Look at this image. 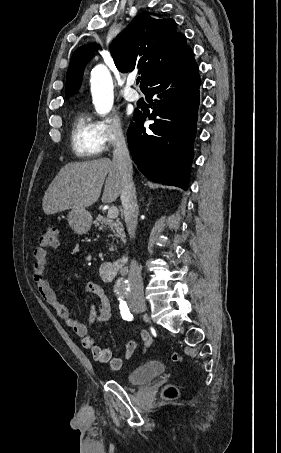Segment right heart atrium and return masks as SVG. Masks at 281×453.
I'll return each instance as SVG.
<instances>
[{"instance_id": "right-heart-atrium-1", "label": "right heart atrium", "mask_w": 281, "mask_h": 453, "mask_svg": "<svg viewBox=\"0 0 281 453\" xmlns=\"http://www.w3.org/2000/svg\"><path fill=\"white\" fill-rule=\"evenodd\" d=\"M93 96L96 100H103L109 96V85L101 80L94 79L92 83ZM100 134L108 148L120 146L126 138V131L122 122L115 117H108L98 122ZM112 175L118 172L116 166L111 167Z\"/></svg>"}]
</instances>
